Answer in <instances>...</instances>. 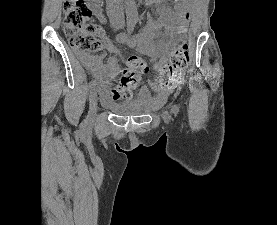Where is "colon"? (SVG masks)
Wrapping results in <instances>:
<instances>
[{"mask_svg": "<svg viewBox=\"0 0 277 225\" xmlns=\"http://www.w3.org/2000/svg\"><path fill=\"white\" fill-rule=\"evenodd\" d=\"M95 1L97 2V0ZM63 24L70 46L75 51L89 53L102 49V42L97 37L98 28L92 23L91 7L85 0H65ZM188 61V45L181 42L172 51L168 63L160 71L159 80L167 84L177 83ZM146 69V62L143 58L130 56L118 85L112 90V98L114 100L131 98Z\"/></svg>", "mask_w": 277, "mask_h": 225, "instance_id": "5ec220e1", "label": "colon"}]
</instances>
